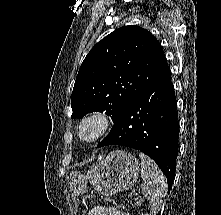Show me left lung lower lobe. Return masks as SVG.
Masks as SVG:
<instances>
[{"label": "left lung lower lobe", "mask_w": 221, "mask_h": 215, "mask_svg": "<svg viewBox=\"0 0 221 215\" xmlns=\"http://www.w3.org/2000/svg\"><path fill=\"white\" fill-rule=\"evenodd\" d=\"M178 123L170 67L148 85L97 145L128 146L151 157L165 174L170 191L177 158Z\"/></svg>", "instance_id": "1"}]
</instances>
